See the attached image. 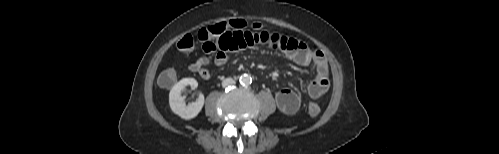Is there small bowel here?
<instances>
[{"label":"small bowel","instance_id":"1","mask_svg":"<svg viewBox=\"0 0 499 154\" xmlns=\"http://www.w3.org/2000/svg\"><path fill=\"white\" fill-rule=\"evenodd\" d=\"M248 48H262L279 52L300 66L315 67V76L307 88L311 99H317L325 94L330 87L328 62L325 55L318 49L292 37L266 30H230L213 40L202 44L204 56L194 61L189 69L198 73L201 78L209 79L207 66L213 61L223 65L228 60V54ZM278 109L288 115L298 111L301 105L300 97L290 89H282L275 94Z\"/></svg>","mask_w":499,"mask_h":154}]
</instances>
